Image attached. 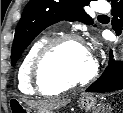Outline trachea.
Segmentation results:
<instances>
[{"label": "trachea", "instance_id": "trachea-1", "mask_svg": "<svg viewBox=\"0 0 123 113\" xmlns=\"http://www.w3.org/2000/svg\"><path fill=\"white\" fill-rule=\"evenodd\" d=\"M100 17H101V18H107V16H106V15H101Z\"/></svg>", "mask_w": 123, "mask_h": 113}]
</instances>
